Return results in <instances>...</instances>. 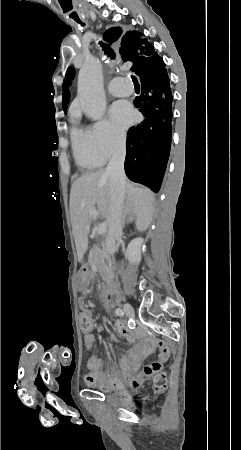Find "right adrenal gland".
Here are the masks:
<instances>
[{
  "label": "right adrenal gland",
  "mask_w": 241,
  "mask_h": 450,
  "mask_svg": "<svg viewBox=\"0 0 241 450\" xmlns=\"http://www.w3.org/2000/svg\"><path fill=\"white\" fill-rule=\"evenodd\" d=\"M131 218H133V216H130V214H128L127 218L125 216V218L122 222V226H125V224H129V222H131Z\"/></svg>",
  "instance_id": "right-adrenal-gland-1"
}]
</instances>
